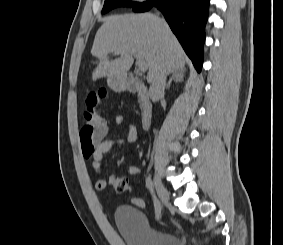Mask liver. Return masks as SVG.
<instances>
[{
  "label": "liver",
  "mask_w": 283,
  "mask_h": 245,
  "mask_svg": "<svg viewBox=\"0 0 283 245\" xmlns=\"http://www.w3.org/2000/svg\"><path fill=\"white\" fill-rule=\"evenodd\" d=\"M112 52L119 58L109 60ZM91 54L99 59L92 79L122 78L133 64V56L148 66L147 82L151 83L160 69L167 74L184 69V51L171 30L151 13L107 17L98 29Z\"/></svg>",
  "instance_id": "1"
}]
</instances>
